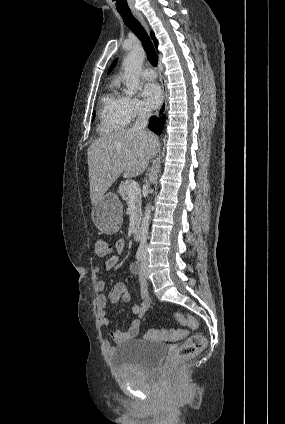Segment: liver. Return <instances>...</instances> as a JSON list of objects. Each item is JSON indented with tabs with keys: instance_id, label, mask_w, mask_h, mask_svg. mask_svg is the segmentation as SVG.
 <instances>
[{
	"instance_id": "obj_1",
	"label": "liver",
	"mask_w": 285,
	"mask_h": 424,
	"mask_svg": "<svg viewBox=\"0 0 285 424\" xmlns=\"http://www.w3.org/2000/svg\"><path fill=\"white\" fill-rule=\"evenodd\" d=\"M157 145L154 134L132 128L113 131L95 140L87 151L92 205L122 174L130 178L143 173Z\"/></svg>"
}]
</instances>
